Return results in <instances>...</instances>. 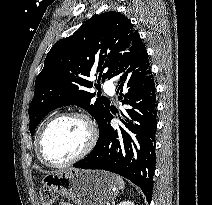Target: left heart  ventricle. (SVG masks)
<instances>
[{"mask_svg":"<svg viewBox=\"0 0 212 205\" xmlns=\"http://www.w3.org/2000/svg\"><path fill=\"white\" fill-rule=\"evenodd\" d=\"M88 139L85 124L76 118L54 122L43 137V151L53 162H64L76 156Z\"/></svg>","mask_w":212,"mask_h":205,"instance_id":"left-heart-ventricle-1","label":"left heart ventricle"}]
</instances>
